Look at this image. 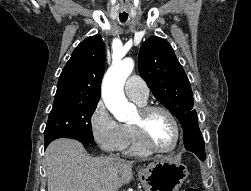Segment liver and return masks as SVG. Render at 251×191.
Returning a JSON list of instances; mask_svg holds the SVG:
<instances>
[{"mask_svg": "<svg viewBox=\"0 0 251 191\" xmlns=\"http://www.w3.org/2000/svg\"><path fill=\"white\" fill-rule=\"evenodd\" d=\"M44 157L48 191H118L133 179L134 161L91 157L77 139H55Z\"/></svg>", "mask_w": 251, "mask_h": 191, "instance_id": "1", "label": "liver"}]
</instances>
